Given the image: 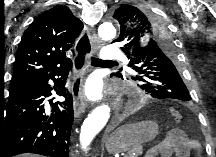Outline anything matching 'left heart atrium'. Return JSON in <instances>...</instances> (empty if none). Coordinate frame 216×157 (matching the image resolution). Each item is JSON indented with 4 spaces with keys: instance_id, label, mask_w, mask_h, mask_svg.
I'll return each mask as SVG.
<instances>
[{
    "instance_id": "39dd6f15",
    "label": "left heart atrium",
    "mask_w": 216,
    "mask_h": 157,
    "mask_svg": "<svg viewBox=\"0 0 216 157\" xmlns=\"http://www.w3.org/2000/svg\"><path fill=\"white\" fill-rule=\"evenodd\" d=\"M86 95L91 99H96L101 95V88L96 81H91L86 87Z\"/></svg>"
}]
</instances>
